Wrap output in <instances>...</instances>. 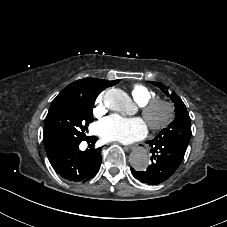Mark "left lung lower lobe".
Returning a JSON list of instances; mask_svg holds the SVG:
<instances>
[{"mask_svg": "<svg viewBox=\"0 0 227 227\" xmlns=\"http://www.w3.org/2000/svg\"><path fill=\"white\" fill-rule=\"evenodd\" d=\"M146 143L151 147L152 164L145 171L139 172L131 168V172L138 180L157 185L174 174L184 158L188 145L164 140H150Z\"/></svg>", "mask_w": 227, "mask_h": 227, "instance_id": "0a47b994", "label": "left lung lower lobe"}]
</instances>
